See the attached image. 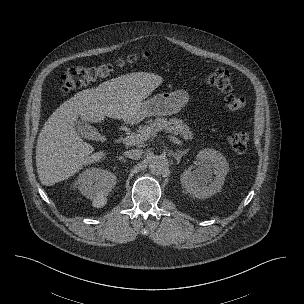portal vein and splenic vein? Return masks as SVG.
I'll return each instance as SVG.
<instances>
[{
  "label": "portal vein and splenic vein",
  "mask_w": 304,
  "mask_h": 304,
  "mask_svg": "<svg viewBox=\"0 0 304 304\" xmlns=\"http://www.w3.org/2000/svg\"><path fill=\"white\" fill-rule=\"evenodd\" d=\"M169 139L177 145H182V141L179 140L178 138H176L175 136L169 135ZM122 142H123V144L130 145V146L135 145V144L139 143V137L135 136V135H128V136L122 138Z\"/></svg>",
  "instance_id": "portal-vein-and-splenic-vein-1"
}]
</instances>
